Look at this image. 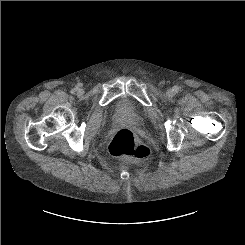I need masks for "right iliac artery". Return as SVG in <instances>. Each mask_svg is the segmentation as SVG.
<instances>
[{
  "mask_svg": "<svg viewBox=\"0 0 245 245\" xmlns=\"http://www.w3.org/2000/svg\"><path fill=\"white\" fill-rule=\"evenodd\" d=\"M77 90H78V88L76 87V88L71 90V93H75Z\"/></svg>",
  "mask_w": 245,
  "mask_h": 245,
  "instance_id": "right-iliac-artery-1",
  "label": "right iliac artery"
}]
</instances>
